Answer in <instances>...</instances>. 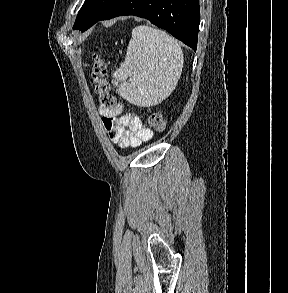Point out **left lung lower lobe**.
Segmentation results:
<instances>
[{
    "mask_svg": "<svg viewBox=\"0 0 288 293\" xmlns=\"http://www.w3.org/2000/svg\"><path fill=\"white\" fill-rule=\"evenodd\" d=\"M123 15L146 18L197 49L199 0H117L98 21Z\"/></svg>",
    "mask_w": 288,
    "mask_h": 293,
    "instance_id": "0a47b994",
    "label": "left lung lower lobe"
}]
</instances>
